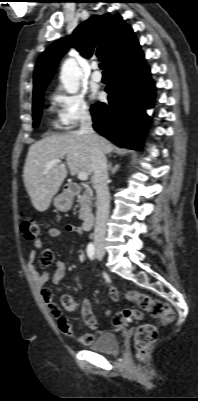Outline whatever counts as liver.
Returning a JSON list of instances; mask_svg holds the SVG:
<instances>
[{
	"label": "liver",
	"instance_id": "liver-1",
	"mask_svg": "<svg viewBox=\"0 0 198 401\" xmlns=\"http://www.w3.org/2000/svg\"><path fill=\"white\" fill-rule=\"evenodd\" d=\"M105 153L113 149L111 143L99 137ZM66 163L71 175L93 172V153L89 137L80 130L69 131L62 135H52L35 142L29 148L23 172L25 188L32 205L39 212L48 209L51 199L58 192L68 172L64 164H55L48 173L46 166L55 159Z\"/></svg>",
	"mask_w": 198,
	"mask_h": 401
}]
</instances>
